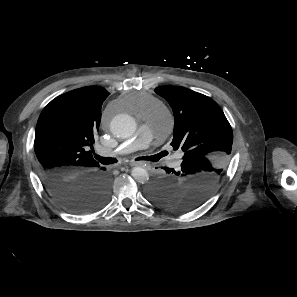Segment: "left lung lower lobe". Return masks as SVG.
I'll use <instances>...</instances> for the list:
<instances>
[{"instance_id":"left-lung-lower-lobe-1","label":"left lung lower lobe","mask_w":297,"mask_h":297,"mask_svg":"<svg viewBox=\"0 0 297 297\" xmlns=\"http://www.w3.org/2000/svg\"><path fill=\"white\" fill-rule=\"evenodd\" d=\"M164 170L166 171V173H168L169 175H171L172 173L174 174H180V170L179 171H175L174 169L172 168H167V167H164ZM168 175V176H169ZM168 176H164V177H161L159 178L155 183L158 184V185H163L164 183H166L167 179H168Z\"/></svg>"}]
</instances>
